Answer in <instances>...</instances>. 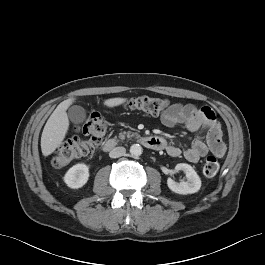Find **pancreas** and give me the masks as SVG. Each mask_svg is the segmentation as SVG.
Returning a JSON list of instances; mask_svg holds the SVG:
<instances>
[{"instance_id":"cf45deb5","label":"pancreas","mask_w":265,"mask_h":265,"mask_svg":"<svg viewBox=\"0 0 265 265\" xmlns=\"http://www.w3.org/2000/svg\"><path fill=\"white\" fill-rule=\"evenodd\" d=\"M138 136H139L138 133H131V132H121L119 134V138L121 140H124L125 138L130 139L131 137H138Z\"/></svg>"}]
</instances>
